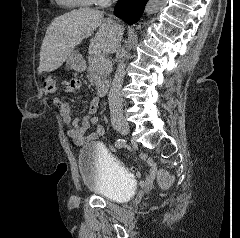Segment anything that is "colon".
Listing matches in <instances>:
<instances>
[{
    "instance_id": "obj_1",
    "label": "colon",
    "mask_w": 240,
    "mask_h": 238,
    "mask_svg": "<svg viewBox=\"0 0 240 238\" xmlns=\"http://www.w3.org/2000/svg\"><path fill=\"white\" fill-rule=\"evenodd\" d=\"M42 85L44 90L48 93H55L57 90L56 81L50 76H46L42 79ZM157 178L162 187H168L171 183L170 176L165 171H158Z\"/></svg>"
}]
</instances>
